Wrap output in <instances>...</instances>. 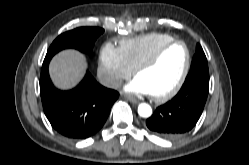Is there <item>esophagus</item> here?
Returning <instances> with one entry per match:
<instances>
[{"label": "esophagus", "mask_w": 249, "mask_h": 165, "mask_svg": "<svg viewBox=\"0 0 249 165\" xmlns=\"http://www.w3.org/2000/svg\"><path fill=\"white\" fill-rule=\"evenodd\" d=\"M125 98L133 104L139 103V101L131 96L125 95Z\"/></svg>", "instance_id": "34e87169"}]
</instances>
